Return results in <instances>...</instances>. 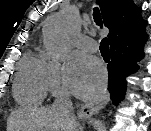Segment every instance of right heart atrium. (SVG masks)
I'll list each match as a JSON object with an SVG mask.
<instances>
[{
  "label": "right heart atrium",
  "instance_id": "right-heart-atrium-1",
  "mask_svg": "<svg viewBox=\"0 0 151 131\" xmlns=\"http://www.w3.org/2000/svg\"><path fill=\"white\" fill-rule=\"evenodd\" d=\"M45 62V74L47 89L53 95H60L66 92L65 71L63 65L56 60H43Z\"/></svg>",
  "mask_w": 151,
  "mask_h": 131
}]
</instances>
